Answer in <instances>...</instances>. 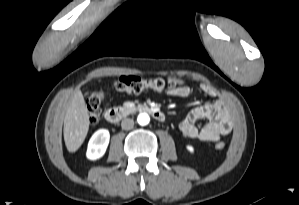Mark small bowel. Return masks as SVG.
<instances>
[{"instance_id": "c3829d8e", "label": "small bowel", "mask_w": 299, "mask_h": 205, "mask_svg": "<svg viewBox=\"0 0 299 205\" xmlns=\"http://www.w3.org/2000/svg\"><path fill=\"white\" fill-rule=\"evenodd\" d=\"M198 89L210 98L218 96L217 91L208 84H200ZM192 92L193 87L186 85L183 81H178V85L171 89L169 94L185 98L190 96ZM200 120H207V122L200 127L197 125ZM231 129V115L226 102L221 98L195 108L179 125V130L184 136L209 142L219 140L222 136L229 134Z\"/></svg>"}]
</instances>
